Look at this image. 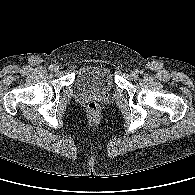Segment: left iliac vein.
I'll return each instance as SVG.
<instances>
[{
	"label": "left iliac vein",
	"instance_id": "obj_1",
	"mask_svg": "<svg viewBox=\"0 0 195 195\" xmlns=\"http://www.w3.org/2000/svg\"><path fill=\"white\" fill-rule=\"evenodd\" d=\"M130 75H131L132 77H136L137 73H136L135 71H132V72L130 73Z\"/></svg>",
	"mask_w": 195,
	"mask_h": 195
}]
</instances>
